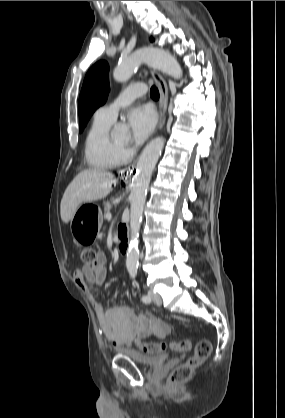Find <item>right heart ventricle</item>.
Masks as SVG:
<instances>
[{
	"label": "right heart ventricle",
	"instance_id": "obj_1",
	"mask_svg": "<svg viewBox=\"0 0 285 418\" xmlns=\"http://www.w3.org/2000/svg\"><path fill=\"white\" fill-rule=\"evenodd\" d=\"M111 122L94 115L84 139V155L88 165L95 170H106L121 164L123 155L110 144L108 137Z\"/></svg>",
	"mask_w": 285,
	"mask_h": 418
}]
</instances>
